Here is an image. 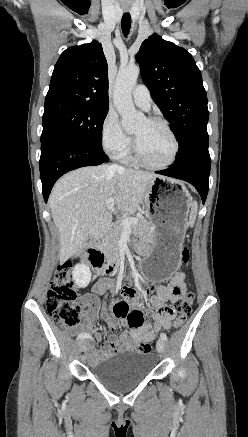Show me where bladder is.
<instances>
[{
	"label": "bladder",
	"mask_w": 248,
	"mask_h": 437,
	"mask_svg": "<svg viewBox=\"0 0 248 437\" xmlns=\"http://www.w3.org/2000/svg\"><path fill=\"white\" fill-rule=\"evenodd\" d=\"M154 365L155 359L151 354L128 350L109 357L90 371L109 389L125 392L144 380Z\"/></svg>",
	"instance_id": "obj_1"
}]
</instances>
